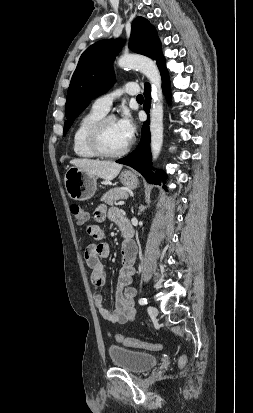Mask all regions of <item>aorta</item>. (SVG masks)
Wrapping results in <instances>:
<instances>
[{
  "label": "aorta",
  "instance_id": "aorta-1",
  "mask_svg": "<svg viewBox=\"0 0 253 413\" xmlns=\"http://www.w3.org/2000/svg\"><path fill=\"white\" fill-rule=\"evenodd\" d=\"M121 68L136 69L142 72L152 86V103L150 109V134L152 159L156 160L163 145V94L161 75L156 63L142 55L128 54L118 59Z\"/></svg>",
  "mask_w": 253,
  "mask_h": 413
}]
</instances>
